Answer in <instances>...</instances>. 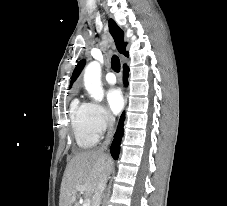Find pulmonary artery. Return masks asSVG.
Listing matches in <instances>:
<instances>
[{
    "instance_id": "e3ab8cb5",
    "label": "pulmonary artery",
    "mask_w": 227,
    "mask_h": 206,
    "mask_svg": "<svg viewBox=\"0 0 227 206\" xmlns=\"http://www.w3.org/2000/svg\"><path fill=\"white\" fill-rule=\"evenodd\" d=\"M105 79L111 85H113L117 82L116 76L113 72H108L105 76Z\"/></svg>"
}]
</instances>
